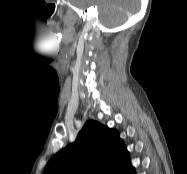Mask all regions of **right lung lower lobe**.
<instances>
[{
	"label": "right lung lower lobe",
	"instance_id": "right-lung-lower-lobe-1",
	"mask_svg": "<svg viewBox=\"0 0 187 174\" xmlns=\"http://www.w3.org/2000/svg\"><path fill=\"white\" fill-rule=\"evenodd\" d=\"M135 172L133 171L132 173H130V174H134Z\"/></svg>",
	"mask_w": 187,
	"mask_h": 174
}]
</instances>
